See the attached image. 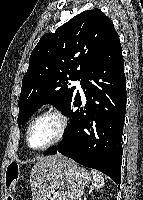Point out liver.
Wrapping results in <instances>:
<instances>
[{
    "label": "liver",
    "instance_id": "1",
    "mask_svg": "<svg viewBox=\"0 0 143 200\" xmlns=\"http://www.w3.org/2000/svg\"><path fill=\"white\" fill-rule=\"evenodd\" d=\"M74 163L61 154L42 157L30 173V186L33 200H42L52 175L67 164Z\"/></svg>",
    "mask_w": 143,
    "mask_h": 200
}]
</instances>
